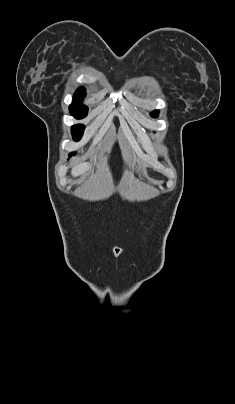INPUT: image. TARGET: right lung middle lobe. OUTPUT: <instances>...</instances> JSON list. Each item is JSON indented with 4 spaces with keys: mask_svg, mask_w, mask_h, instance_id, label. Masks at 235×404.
<instances>
[{
    "mask_svg": "<svg viewBox=\"0 0 235 404\" xmlns=\"http://www.w3.org/2000/svg\"><path fill=\"white\" fill-rule=\"evenodd\" d=\"M70 113L76 119H82L87 115L88 108L82 104H71L69 107ZM85 126L82 124H77L72 126V135L75 141L81 139L82 134L84 132ZM75 154V153H73Z\"/></svg>",
    "mask_w": 235,
    "mask_h": 404,
    "instance_id": "1",
    "label": "right lung middle lobe"
}]
</instances>
